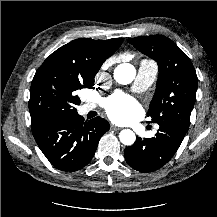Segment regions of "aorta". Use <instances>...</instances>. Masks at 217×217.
<instances>
[{"instance_id":"1","label":"aorta","mask_w":217,"mask_h":217,"mask_svg":"<svg viewBox=\"0 0 217 217\" xmlns=\"http://www.w3.org/2000/svg\"><path fill=\"white\" fill-rule=\"evenodd\" d=\"M136 75L135 67L129 63H122L114 70V79L122 85L130 84ZM119 139L122 144L130 146L135 140V133L130 129H123L119 134Z\"/></svg>"}]
</instances>
